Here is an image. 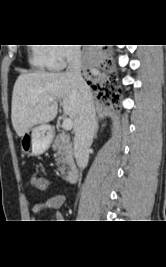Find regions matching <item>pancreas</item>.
Segmentation results:
<instances>
[{"label": "pancreas", "mask_w": 166, "mask_h": 267, "mask_svg": "<svg viewBox=\"0 0 166 267\" xmlns=\"http://www.w3.org/2000/svg\"><path fill=\"white\" fill-rule=\"evenodd\" d=\"M54 151H57L56 164L62 176L66 175V170L74 167L73 149L70 137L63 132L57 135L54 140Z\"/></svg>", "instance_id": "cf45deb5"}]
</instances>
